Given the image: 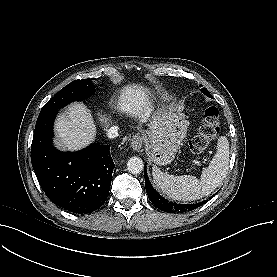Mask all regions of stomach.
<instances>
[{"mask_svg":"<svg viewBox=\"0 0 277 277\" xmlns=\"http://www.w3.org/2000/svg\"><path fill=\"white\" fill-rule=\"evenodd\" d=\"M187 134V121L175 106H162L142 131L149 158L157 165H167L176 156Z\"/></svg>","mask_w":277,"mask_h":277,"instance_id":"obj_1","label":"stomach"}]
</instances>
